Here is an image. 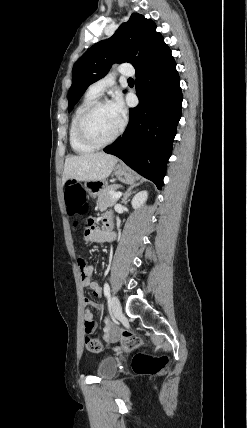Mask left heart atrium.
Masks as SVG:
<instances>
[{
	"mask_svg": "<svg viewBox=\"0 0 247 428\" xmlns=\"http://www.w3.org/2000/svg\"><path fill=\"white\" fill-rule=\"evenodd\" d=\"M108 108L118 125H122L124 123L126 115L122 99L119 96L115 97L112 101L108 103Z\"/></svg>",
	"mask_w": 247,
	"mask_h": 428,
	"instance_id": "left-heart-atrium-1",
	"label": "left heart atrium"
}]
</instances>
